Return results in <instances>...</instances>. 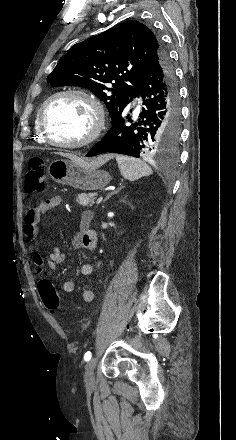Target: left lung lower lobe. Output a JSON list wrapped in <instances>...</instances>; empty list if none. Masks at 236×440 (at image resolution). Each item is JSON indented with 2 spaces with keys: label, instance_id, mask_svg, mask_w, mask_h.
Returning <instances> with one entry per match:
<instances>
[{
  "label": "left lung lower lobe",
  "instance_id": "left-lung-lower-lobe-1",
  "mask_svg": "<svg viewBox=\"0 0 236 440\" xmlns=\"http://www.w3.org/2000/svg\"><path fill=\"white\" fill-rule=\"evenodd\" d=\"M139 95L143 98L145 107L137 121L132 123L130 114H126V111L132 99ZM179 124L178 87L168 54L163 52L151 59L137 89L112 120V128L86 156L115 152L139 157L143 153L156 150L160 144L173 145L178 138Z\"/></svg>",
  "mask_w": 236,
  "mask_h": 440
}]
</instances>
